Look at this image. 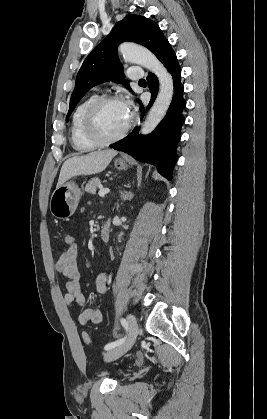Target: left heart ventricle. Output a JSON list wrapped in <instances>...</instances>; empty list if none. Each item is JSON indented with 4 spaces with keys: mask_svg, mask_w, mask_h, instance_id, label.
I'll return each instance as SVG.
<instances>
[{
    "mask_svg": "<svg viewBox=\"0 0 267 419\" xmlns=\"http://www.w3.org/2000/svg\"><path fill=\"white\" fill-rule=\"evenodd\" d=\"M130 116L131 113L127 110L124 102H110L97 113L96 125L103 136L111 137L122 131Z\"/></svg>",
    "mask_w": 267,
    "mask_h": 419,
    "instance_id": "b2bd125f",
    "label": "left heart ventricle"
}]
</instances>
